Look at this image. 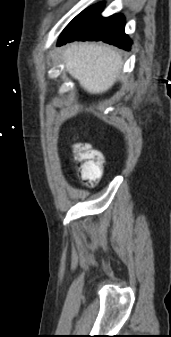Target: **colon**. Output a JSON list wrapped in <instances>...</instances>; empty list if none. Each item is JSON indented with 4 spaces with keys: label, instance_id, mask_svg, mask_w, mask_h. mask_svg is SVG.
Segmentation results:
<instances>
[{
    "label": "colon",
    "instance_id": "obj_1",
    "mask_svg": "<svg viewBox=\"0 0 171 337\" xmlns=\"http://www.w3.org/2000/svg\"><path fill=\"white\" fill-rule=\"evenodd\" d=\"M73 159L81 178L89 185L94 186L104 171L105 158L101 151L94 149L90 144L74 141L70 146Z\"/></svg>",
    "mask_w": 171,
    "mask_h": 337
}]
</instances>
